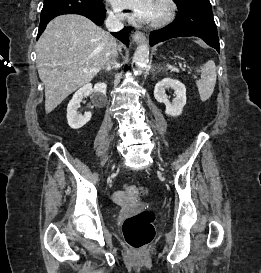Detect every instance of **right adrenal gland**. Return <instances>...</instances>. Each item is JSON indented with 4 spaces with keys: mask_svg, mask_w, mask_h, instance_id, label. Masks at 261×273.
I'll use <instances>...</instances> for the list:
<instances>
[{
    "mask_svg": "<svg viewBox=\"0 0 261 273\" xmlns=\"http://www.w3.org/2000/svg\"><path fill=\"white\" fill-rule=\"evenodd\" d=\"M103 69H106V71H111L110 63H107L106 66L103 67Z\"/></svg>",
    "mask_w": 261,
    "mask_h": 273,
    "instance_id": "2a0ac1e0",
    "label": "right adrenal gland"
}]
</instances>
